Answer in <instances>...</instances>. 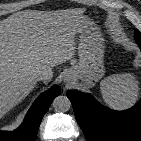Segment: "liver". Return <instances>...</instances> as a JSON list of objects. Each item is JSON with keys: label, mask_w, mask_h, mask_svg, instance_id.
Wrapping results in <instances>:
<instances>
[{"label": "liver", "mask_w": 141, "mask_h": 141, "mask_svg": "<svg viewBox=\"0 0 141 141\" xmlns=\"http://www.w3.org/2000/svg\"><path fill=\"white\" fill-rule=\"evenodd\" d=\"M83 9L20 11L0 21V119L34 89V74L75 54V37L89 24ZM47 83V82H45Z\"/></svg>", "instance_id": "obj_1"}]
</instances>
